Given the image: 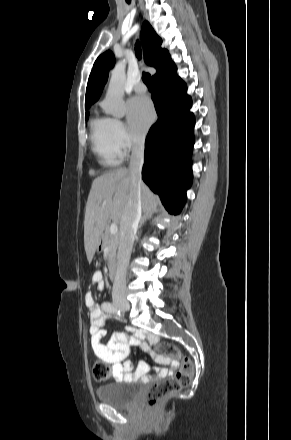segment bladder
Wrapping results in <instances>:
<instances>
[{
  "label": "bladder",
  "mask_w": 291,
  "mask_h": 440,
  "mask_svg": "<svg viewBox=\"0 0 291 440\" xmlns=\"http://www.w3.org/2000/svg\"><path fill=\"white\" fill-rule=\"evenodd\" d=\"M140 394L139 382L125 379L101 386L95 391L98 400L119 408L131 406L139 398Z\"/></svg>",
  "instance_id": "1"
}]
</instances>
